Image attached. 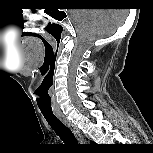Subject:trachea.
Wrapping results in <instances>:
<instances>
[{
	"mask_svg": "<svg viewBox=\"0 0 153 153\" xmlns=\"http://www.w3.org/2000/svg\"><path fill=\"white\" fill-rule=\"evenodd\" d=\"M48 124L55 133L67 144H75L76 139L71 130L63 124L53 113L42 112Z\"/></svg>",
	"mask_w": 153,
	"mask_h": 153,
	"instance_id": "obj_1",
	"label": "trachea"
}]
</instances>
